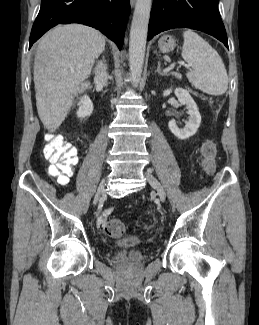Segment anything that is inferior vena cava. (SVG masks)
<instances>
[{"instance_id":"602c4592","label":"inferior vena cava","mask_w":259,"mask_h":325,"mask_svg":"<svg viewBox=\"0 0 259 325\" xmlns=\"http://www.w3.org/2000/svg\"><path fill=\"white\" fill-rule=\"evenodd\" d=\"M106 65L103 62H98L95 68V82L102 83L103 85L107 84V70Z\"/></svg>"}]
</instances>
